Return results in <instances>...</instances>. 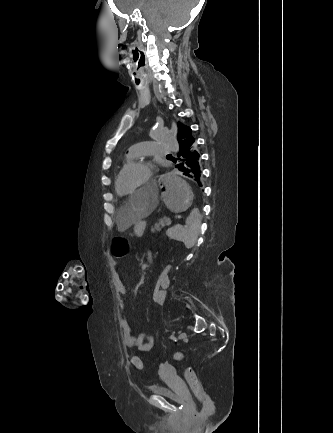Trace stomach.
<instances>
[{
	"label": "stomach",
	"instance_id": "obj_1",
	"mask_svg": "<svg viewBox=\"0 0 333 433\" xmlns=\"http://www.w3.org/2000/svg\"><path fill=\"white\" fill-rule=\"evenodd\" d=\"M159 181L162 185L161 194L164 196L166 210H170L171 215H186L193 199V191L190 183H185V176L170 170L168 174H160ZM144 226V222L139 220L135 225V233L138 234L140 227Z\"/></svg>",
	"mask_w": 333,
	"mask_h": 433
}]
</instances>
